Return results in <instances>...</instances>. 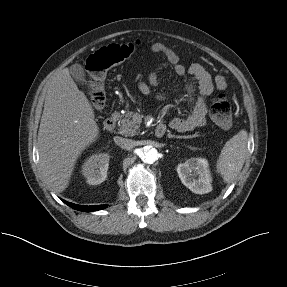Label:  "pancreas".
<instances>
[{"instance_id":"1","label":"pancreas","mask_w":287,"mask_h":287,"mask_svg":"<svg viewBox=\"0 0 287 287\" xmlns=\"http://www.w3.org/2000/svg\"><path fill=\"white\" fill-rule=\"evenodd\" d=\"M134 113L128 111L119 118V133L125 136H134L139 133V125L132 120Z\"/></svg>"}]
</instances>
